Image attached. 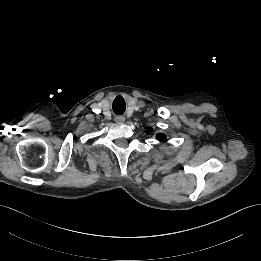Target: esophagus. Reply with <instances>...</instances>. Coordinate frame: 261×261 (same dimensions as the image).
<instances>
[{"instance_id":"34e87169","label":"esophagus","mask_w":261,"mask_h":261,"mask_svg":"<svg viewBox=\"0 0 261 261\" xmlns=\"http://www.w3.org/2000/svg\"><path fill=\"white\" fill-rule=\"evenodd\" d=\"M114 121H115L116 123H119V124L124 123V122H125V117H124V116H116V117L114 118Z\"/></svg>"}]
</instances>
